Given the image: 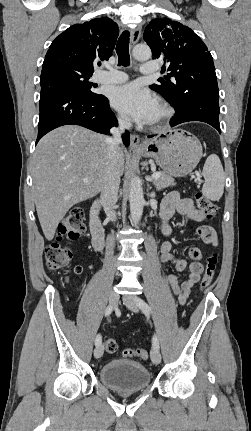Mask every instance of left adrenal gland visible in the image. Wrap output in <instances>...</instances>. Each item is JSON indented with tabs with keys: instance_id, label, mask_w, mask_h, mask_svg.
<instances>
[{
	"instance_id": "a2214340",
	"label": "left adrenal gland",
	"mask_w": 251,
	"mask_h": 431,
	"mask_svg": "<svg viewBox=\"0 0 251 431\" xmlns=\"http://www.w3.org/2000/svg\"><path fill=\"white\" fill-rule=\"evenodd\" d=\"M151 188V187H150ZM155 194V192L152 193V196Z\"/></svg>"
}]
</instances>
